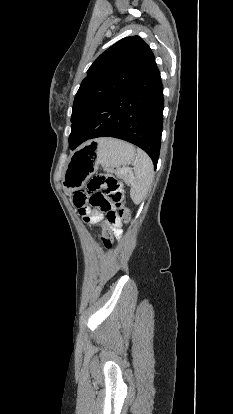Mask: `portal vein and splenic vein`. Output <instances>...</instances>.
Returning a JSON list of instances; mask_svg holds the SVG:
<instances>
[{"instance_id": "obj_1", "label": "portal vein and splenic vein", "mask_w": 233, "mask_h": 414, "mask_svg": "<svg viewBox=\"0 0 233 414\" xmlns=\"http://www.w3.org/2000/svg\"><path fill=\"white\" fill-rule=\"evenodd\" d=\"M121 172L122 173L129 172L130 174L132 173L131 169H128V168H122Z\"/></svg>"}]
</instances>
